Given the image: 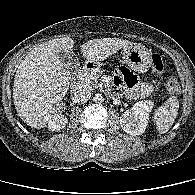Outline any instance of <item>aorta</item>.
<instances>
[{
  "instance_id": "762f6f07",
  "label": "aorta",
  "mask_w": 195,
  "mask_h": 195,
  "mask_svg": "<svg viewBox=\"0 0 195 195\" xmlns=\"http://www.w3.org/2000/svg\"><path fill=\"white\" fill-rule=\"evenodd\" d=\"M94 102L101 103L103 101V95L101 93H96L93 97Z\"/></svg>"
}]
</instances>
